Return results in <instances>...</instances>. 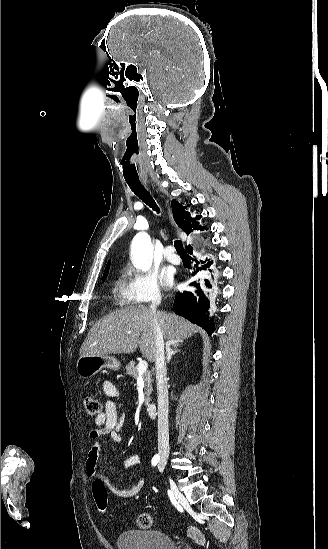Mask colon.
Returning <instances> with one entry per match:
<instances>
[{
	"mask_svg": "<svg viewBox=\"0 0 328 549\" xmlns=\"http://www.w3.org/2000/svg\"><path fill=\"white\" fill-rule=\"evenodd\" d=\"M84 407L88 415L95 416L101 413V403L95 397H86L84 400ZM92 491L98 511L100 513H105L108 508V492L105 481L103 479H95L92 485ZM151 523L152 519L148 513H141L137 518V526L141 529H148L151 526ZM189 536L199 543L204 542L202 533L196 529H190Z\"/></svg>",
	"mask_w": 328,
	"mask_h": 549,
	"instance_id": "obj_1",
	"label": "colon"
}]
</instances>
